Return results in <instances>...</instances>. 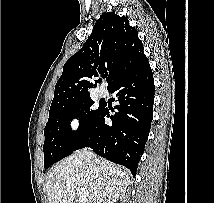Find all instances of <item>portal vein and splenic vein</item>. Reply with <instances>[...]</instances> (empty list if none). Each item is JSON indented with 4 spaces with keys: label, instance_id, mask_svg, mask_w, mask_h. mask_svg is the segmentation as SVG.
Listing matches in <instances>:
<instances>
[{
    "label": "portal vein and splenic vein",
    "instance_id": "obj_1",
    "mask_svg": "<svg viewBox=\"0 0 214 203\" xmlns=\"http://www.w3.org/2000/svg\"><path fill=\"white\" fill-rule=\"evenodd\" d=\"M79 202L85 203L88 199V192L84 188L78 189Z\"/></svg>",
    "mask_w": 214,
    "mask_h": 203
}]
</instances>
